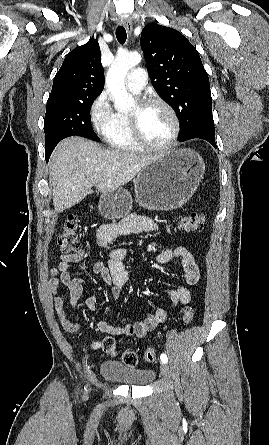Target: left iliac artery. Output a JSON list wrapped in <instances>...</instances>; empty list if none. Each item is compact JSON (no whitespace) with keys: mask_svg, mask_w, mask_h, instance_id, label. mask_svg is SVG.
Here are the masks:
<instances>
[{"mask_svg":"<svg viewBox=\"0 0 269 445\" xmlns=\"http://www.w3.org/2000/svg\"><path fill=\"white\" fill-rule=\"evenodd\" d=\"M160 359H161V361H162L163 363H167V362H168L167 355L164 354V353L161 354Z\"/></svg>","mask_w":269,"mask_h":445,"instance_id":"obj_1","label":"left iliac artery"}]
</instances>
